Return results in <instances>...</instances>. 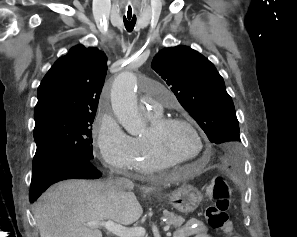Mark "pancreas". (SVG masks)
Here are the masks:
<instances>
[{"instance_id":"obj_1","label":"pancreas","mask_w":297,"mask_h":237,"mask_svg":"<svg viewBox=\"0 0 297 237\" xmlns=\"http://www.w3.org/2000/svg\"><path fill=\"white\" fill-rule=\"evenodd\" d=\"M163 215H164L165 218H167L166 224L169 225V226L172 225L175 228L180 227L185 222L183 217L176 216L172 212L164 211Z\"/></svg>"}]
</instances>
